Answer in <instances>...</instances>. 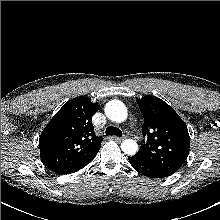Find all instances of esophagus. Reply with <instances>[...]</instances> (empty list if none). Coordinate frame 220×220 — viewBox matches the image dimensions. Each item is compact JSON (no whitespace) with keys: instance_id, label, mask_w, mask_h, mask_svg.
I'll list each match as a JSON object with an SVG mask.
<instances>
[{"instance_id":"esophagus-1","label":"esophagus","mask_w":220,"mask_h":220,"mask_svg":"<svg viewBox=\"0 0 220 220\" xmlns=\"http://www.w3.org/2000/svg\"><path fill=\"white\" fill-rule=\"evenodd\" d=\"M113 140H115L116 142H121L125 139V137H112Z\"/></svg>"}]
</instances>
